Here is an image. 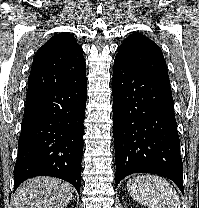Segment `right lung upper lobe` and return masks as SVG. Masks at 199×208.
I'll use <instances>...</instances> for the list:
<instances>
[{
  "label": "right lung upper lobe",
  "mask_w": 199,
  "mask_h": 208,
  "mask_svg": "<svg viewBox=\"0 0 199 208\" xmlns=\"http://www.w3.org/2000/svg\"><path fill=\"white\" fill-rule=\"evenodd\" d=\"M86 77L81 46L67 33L54 35L35 54L28 93L73 84Z\"/></svg>",
  "instance_id": "1"
}]
</instances>
